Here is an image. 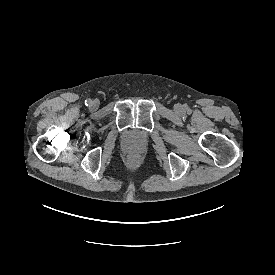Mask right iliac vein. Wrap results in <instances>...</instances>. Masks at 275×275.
<instances>
[{
  "instance_id": "1",
  "label": "right iliac vein",
  "mask_w": 275,
  "mask_h": 275,
  "mask_svg": "<svg viewBox=\"0 0 275 275\" xmlns=\"http://www.w3.org/2000/svg\"><path fill=\"white\" fill-rule=\"evenodd\" d=\"M91 106H92L93 108H96V107H97V103H96V102H92Z\"/></svg>"
}]
</instances>
